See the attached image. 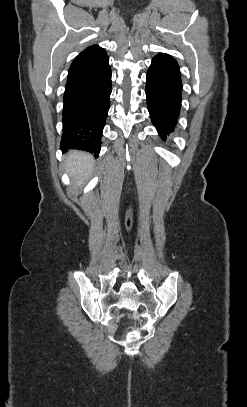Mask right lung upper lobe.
Listing matches in <instances>:
<instances>
[{
  "label": "right lung upper lobe",
  "instance_id": "right-lung-upper-lobe-1",
  "mask_svg": "<svg viewBox=\"0 0 247 407\" xmlns=\"http://www.w3.org/2000/svg\"><path fill=\"white\" fill-rule=\"evenodd\" d=\"M106 55V51L97 46L92 45L87 47L84 51H82L73 61L71 67L69 69V74L72 75L77 72L82 71L83 69L87 68L88 66L94 64L95 62L99 61L100 59L104 58Z\"/></svg>",
  "mask_w": 247,
  "mask_h": 407
}]
</instances>
